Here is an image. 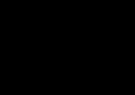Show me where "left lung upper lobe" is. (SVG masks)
Listing matches in <instances>:
<instances>
[{
	"instance_id": "left-lung-upper-lobe-1",
	"label": "left lung upper lobe",
	"mask_w": 135,
	"mask_h": 95,
	"mask_svg": "<svg viewBox=\"0 0 135 95\" xmlns=\"http://www.w3.org/2000/svg\"><path fill=\"white\" fill-rule=\"evenodd\" d=\"M133 33L116 16L106 15L101 9L94 15L91 39L83 58L85 65L99 72H110L124 64L133 52Z\"/></svg>"
}]
</instances>
